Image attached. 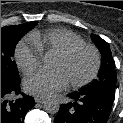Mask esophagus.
Segmentation results:
<instances>
[{"instance_id": "1", "label": "esophagus", "mask_w": 123, "mask_h": 123, "mask_svg": "<svg viewBox=\"0 0 123 123\" xmlns=\"http://www.w3.org/2000/svg\"><path fill=\"white\" fill-rule=\"evenodd\" d=\"M45 99H43V98H39V97H35V102L36 103H39V104H43V103H45Z\"/></svg>"}]
</instances>
